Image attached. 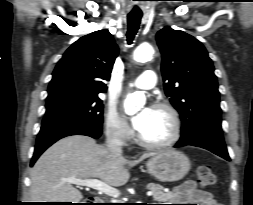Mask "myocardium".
Wrapping results in <instances>:
<instances>
[{
    "instance_id": "myocardium-1",
    "label": "myocardium",
    "mask_w": 253,
    "mask_h": 205,
    "mask_svg": "<svg viewBox=\"0 0 253 205\" xmlns=\"http://www.w3.org/2000/svg\"><path fill=\"white\" fill-rule=\"evenodd\" d=\"M153 109L163 110L169 115L172 123V133L169 138L160 142L148 141L137 133L136 138L138 142L142 146L152 149L165 148L175 144L180 139L182 133V122L178 111L173 105L167 102H157L154 104Z\"/></svg>"
}]
</instances>
